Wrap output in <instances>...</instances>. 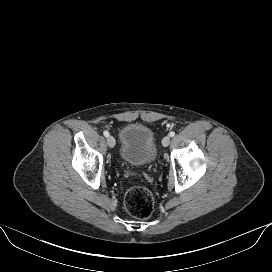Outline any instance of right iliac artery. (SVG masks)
<instances>
[{
	"mask_svg": "<svg viewBox=\"0 0 272 272\" xmlns=\"http://www.w3.org/2000/svg\"><path fill=\"white\" fill-rule=\"evenodd\" d=\"M103 134H104L105 137H108V136H109V132L106 131V130L103 132Z\"/></svg>",
	"mask_w": 272,
	"mask_h": 272,
	"instance_id": "right-iliac-artery-1",
	"label": "right iliac artery"
}]
</instances>
